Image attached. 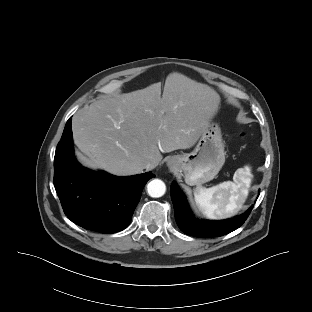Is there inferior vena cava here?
Wrapping results in <instances>:
<instances>
[{
    "instance_id": "inferior-vena-cava-1",
    "label": "inferior vena cava",
    "mask_w": 312,
    "mask_h": 312,
    "mask_svg": "<svg viewBox=\"0 0 312 312\" xmlns=\"http://www.w3.org/2000/svg\"><path fill=\"white\" fill-rule=\"evenodd\" d=\"M157 166V163L152 160H148L144 163V168L147 170L154 169Z\"/></svg>"
}]
</instances>
